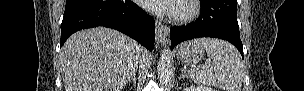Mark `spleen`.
I'll return each instance as SVG.
<instances>
[{"mask_svg": "<svg viewBox=\"0 0 304 91\" xmlns=\"http://www.w3.org/2000/svg\"><path fill=\"white\" fill-rule=\"evenodd\" d=\"M208 55L205 64L192 65L188 75L195 83L214 86L225 91H241L244 67L235 47L216 38L197 40Z\"/></svg>", "mask_w": 304, "mask_h": 91, "instance_id": "3e777b00", "label": "spleen"}]
</instances>
